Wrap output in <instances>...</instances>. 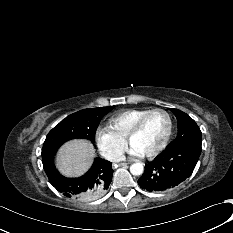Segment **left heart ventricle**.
I'll return each mask as SVG.
<instances>
[{
    "mask_svg": "<svg viewBox=\"0 0 233 233\" xmlns=\"http://www.w3.org/2000/svg\"><path fill=\"white\" fill-rule=\"evenodd\" d=\"M168 129V119L164 113L151 114L141 131L131 140V146L142 155L157 148L163 141Z\"/></svg>",
    "mask_w": 233,
    "mask_h": 233,
    "instance_id": "obj_1",
    "label": "left heart ventricle"
}]
</instances>
